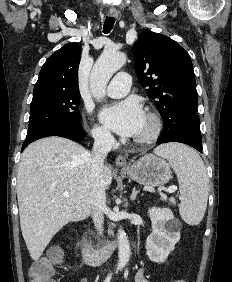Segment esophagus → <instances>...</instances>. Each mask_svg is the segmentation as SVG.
I'll use <instances>...</instances> for the list:
<instances>
[{
    "mask_svg": "<svg viewBox=\"0 0 232 282\" xmlns=\"http://www.w3.org/2000/svg\"><path fill=\"white\" fill-rule=\"evenodd\" d=\"M109 15L111 17L117 18L118 17V12L116 10H110ZM116 165L122 168L127 167V160L124 156L118 155L116 157Z\"/></svg>",
    "mask_w": 232,
    "mask_h": 282,
    "instance_id": "obj_1",
    "label": "esophagus"
}]
</instances>
